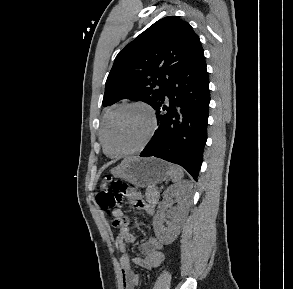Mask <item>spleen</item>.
<instances>
[{"label":"spleen","instance_id":"3e777b00","mask_svg":"<svg viewBox=\"0 0 293 289\" xmlns=\"http://www.w3.org/2000/svg\"><path fill=\"white\" fill-rule=\"evenodd\" d=\"M169 176L172 182H178L184 176L183 170L177 165L169 164Z\"/></svg>","mask_w":293,"mask_h":289}]
</instances>
